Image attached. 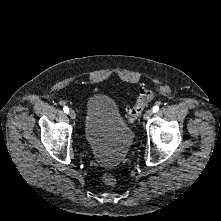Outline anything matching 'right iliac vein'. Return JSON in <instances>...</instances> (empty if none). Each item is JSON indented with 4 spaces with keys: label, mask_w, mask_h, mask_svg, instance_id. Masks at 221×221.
Here are the masks:
<instances>
[{
    "label": "right iliac vein",
    "mask_w": 221,
    "mask_h": 221,
    "mask_svg": "<svg viewBox=\"0 0 221 221\" xmlns=\"http://www.w3.org/2000/svg\"><path fill=\"white\" fill-rule=\"evenodd\" d=\"M69 116H70L71 119H75V118H76V113H75V111L70 110Z\"/></svg>",
    "instance_id": "1"
}]
</instances>
